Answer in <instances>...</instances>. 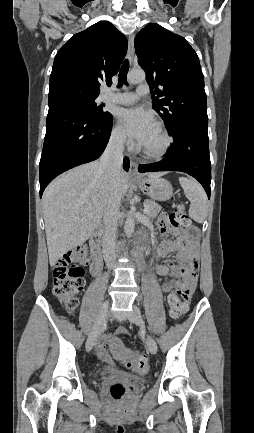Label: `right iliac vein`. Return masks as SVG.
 Here are the masks:
<instances>
[{"mask_svg":"<svg viewBox=\"0 0 254 433\" xmlns=\"http://www.w3.org/2000/svg\"><path fill=\"white\" fill-rule=\"evenodd\" d=\"M108 311H109V301L106 300L103 303V305L100 309L97 321H96L93 329L91 330V332L89 333V336L87 338V341H86L87 351H90L94 347L96 340H97V337H98V335L102 329V325L107 318Z\"/></svg>","mask_w":254,"mask_h":433,"instance_id":"1","label":"right iliac vein"}]
</instances>
